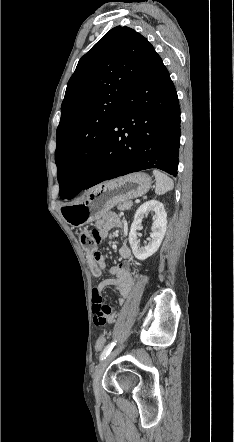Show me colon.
Listing matches in <instances>:
<instances>
[{
  "instance_id": "5ec220e1",
  "label": "colon",
  "mask_w": 234,
  "mask_h": 442,
  "mask_svg": "<svg viewBox=\"0 0 234 442\" xmlns=\"http://www.w3.org/2000/svg\"><path fill=\"white\" fill-rule=\"evenodd\" d=\"M81 243L85 251L93 256H97V245L101 241L97 230H83L80 235ZM91 270L94 276H99L101 269L97 264L91 266ZM92 311L94 314H105L108 311V306L102 303V296L99 292L93 291L92 295ZM103 338L100 337L96 341L95 351L97 354L103 352Z\"/></svg>"
}]
</instances>
